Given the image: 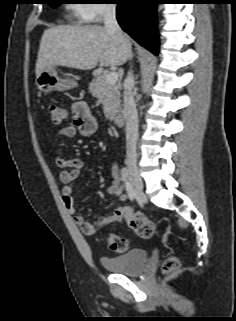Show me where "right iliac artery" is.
I'll return each mask as SVG.
<instances>
[{
    "label": "right iliac artery",
    "mask_w": 236,
    "mask_h": 321,
    "mask_svg": "<svg viewBox=\"0 0 236 321\" xmlns=\"http://www.w3.org/2000/svg\"><path fill=\"white\" fill-rule=\"evenodd\" d=\"M126 169V168H125ZM123 181H124V183H126V191H127V194H128V196H129V198L131 199V200H133L134 199V197H135V192H134V190H133V188H132V185H131V183H130V181H129V178H128V176H127V178H123Z\"/></svg>",
    "instance_id": "82829eb1"
}]
</instances>
